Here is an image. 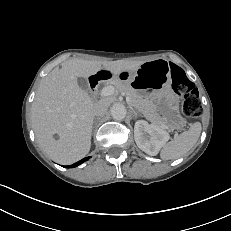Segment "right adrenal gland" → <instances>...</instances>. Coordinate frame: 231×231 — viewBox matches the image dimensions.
<instances>
[{"mask_svg":"<svg viewBox=\"0 0 231 231\" xmlns=\"http://www.w3.org/2000/svg\"><path fill=\"white\" fill-rule=\"evenodd\" d=\"M93 125H94V126L96 125V121L93 122ZM94 126H93V128H94Z\"/></svg>","mask_w":231,"mask_h":231,"instance_id":"right-adrenal-gland-1","label":"right adrenal gland"}]
</instances>
